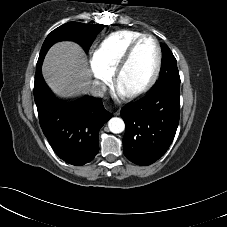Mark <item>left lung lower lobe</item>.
<instances>
[{"label": "left lung lower lobe", "mask_w": 227, "mask_h": 227, "mask_svg": "<svg viewBox=\"0 0 227 227\" xmlns=\"http://www.w3.org/2000/svg\"><path fill=\"white\" fill-rule=\"evenodd\" d=\"M126 128L124 155L137 165H150L162 157L172 143L180 116V90L152 88L142 99L120 112Z\"/></svg>", "instance_id": "0a47b994"}]
</instances>
